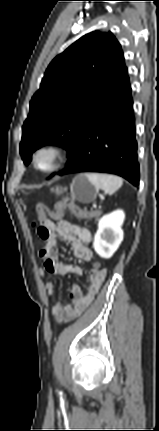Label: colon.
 Returning <instances> with one entry per match:
<instances>
[{
  "label": "colon",
  "mask_w": 159,
  "mask_h": 431,
  "mask_svg": "<svg viewBox=\"0 0 159 431\" xmlns=\"http://www.w3.org/2000/svg\"><path fill=\"white\" fill-rule=\"evenodd\" d=\"M65 210H69L73 215L78 218H88L92 215V213L81 209L75 202L69 199H64L59 201L55 205V210L51 211L46 204L39 203L36 206V213L39 222V227L47 221V214L51 215L54 218H60ZM102 265L101 259H96L95 263H92V268H98Z\"/></svg>",
  "instance_id": "1"
}]
</instances>
